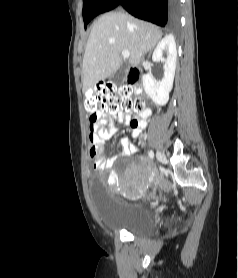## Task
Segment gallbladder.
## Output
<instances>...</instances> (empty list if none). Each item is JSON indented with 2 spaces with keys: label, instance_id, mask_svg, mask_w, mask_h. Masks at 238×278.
<instances>
[{
  "label": "gallbladder",
  "instance_id": "obj_1",
  "mask_svg": "<svg viewBox=\"0 0 238 278\" xmlns=\"http://www.w3.org/2000/svg\"><path fill=\"white\" fill-rule=\"evenodd\" d=\"M127 68H128V65L126 63H123L119 67V69L112 75L111 80L116 84L122 83L124 80V76H125Z\"/></svg>",
  "mask_w": 238,
  "mask_h": 278
}]
</instances>
